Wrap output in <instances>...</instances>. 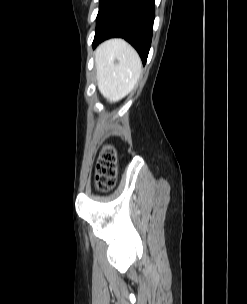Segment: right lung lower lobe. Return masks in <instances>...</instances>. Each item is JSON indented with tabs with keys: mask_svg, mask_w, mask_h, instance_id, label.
Returning <instances> with one entry per match:
<instances>
[{
	"mask_svg": "<svg viewBox=\"0 0 247 304\" xmlns=\"http://www.w3.org/2000/svg\"><path fill=\"white\" fill-rule=\"evenodd\" d=\"M154 0H100L93 48L112 37L128 41L146 63L153 32Z\"/></svg>",
	"mask_w": 247,
	"mask_h": 304,
	"instance_id": "obj_1",
	"label": "right lung lower lobe"
}]
</instances>
